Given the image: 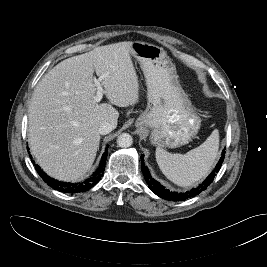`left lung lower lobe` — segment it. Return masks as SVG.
<instances>
[{
	"label": "left lung lower lobe",
	"mask_w": 267,
	"mask_h": 267,
	"mask_svg": "<svg viewBox=\"0 0 267 267\" xmlns=\"http://www.w3.org/2000/svg\"><path fill=\"white\" fill-rule=\"evenodd\" d=\"M224 154L225 151L222 152V156L215 168V170L206 178V180L204 182H202L198 187L191 189L190 191H187L185 193H176V192H171L167 189H165L159 182H157L156 180H154L147 167L144 165V160H143V155L141 156V170L145 176V180L147 182V184L149 185V188L159 197L164 198L166 200H172V201H182V200H186L190 197H194L197 194H199L200 192H202L203 190H205L207 188L208 185L211 184V182L213 181L216 173L219 171L222 162L224 160Z\"/></svg>",
	"instance_id": "left-lung-lower-lobe-1"
}]
</instances>
